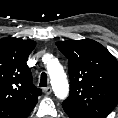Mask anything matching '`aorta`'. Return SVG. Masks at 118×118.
Returning a JSON list of instances; mask_svg holds the SVG:
<instances>
[{"mask_svg": "<svg viewBox=\"0 0 118 118\" xmlns=\"http://www.w3.org/2000/svg\"><path fill=\"white\" fill-rule=\"evenodd\" d=\"M47 72L55 96L59 99H65L69 94V84L62 65L56 59H52L47 63Z\"/></svg>", "mask_w": 118, "mask_h": 118, "instance_id": "aorta-1", "label": "aorta"}]
</instances>
